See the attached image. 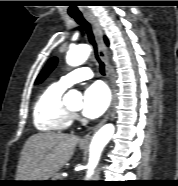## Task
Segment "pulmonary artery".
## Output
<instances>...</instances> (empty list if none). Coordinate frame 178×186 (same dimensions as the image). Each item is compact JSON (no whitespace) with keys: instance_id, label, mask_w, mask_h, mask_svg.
Returning <instances> with one entry per match:
<instances>
[{"instance_id":"obj_1","label":"pulmonary artery","mask_w":178,"mask_h":186,"mask_svg":"<svg viewBox=\"0 0 178 186\" xmlns=\"http://www.w3.org/2000/svg\"><path fill=\"white\" fill-rule=\"evenodd\" d=\"M93 77V72L91 68L84 66L77 68L76 70L70 72L69 74L63 76L59 83L64 87H70L71 85L82 81L87 80Z\"/></svg>"}]
</instances>
